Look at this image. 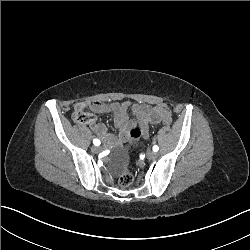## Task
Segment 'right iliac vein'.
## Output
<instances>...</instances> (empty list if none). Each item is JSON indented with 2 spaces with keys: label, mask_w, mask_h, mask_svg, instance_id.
<instances>
[{
  "label": "right iliac vein",
  "mask_w": 250,
  "mask_h": 250,
  "mask_svg": "<svg viewBox=\"0 0 250 250\" xmlns=\"http://www.w3.org/2000/svg\"><path fill=\"white\" fill-rule=\"evenodd\" d=\"M91 150H92L93 153H99L100 150H101V148L98 147V146H93V147L91 148Z\"/></svg>",
  "instance_id": "1"
}]
</instances>
